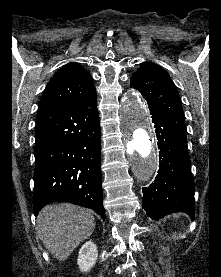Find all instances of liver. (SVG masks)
<instances>
[{
    "instance_id": "6515ba94",
    "label": "liver",
    "mask_w": 221,
    "mask_h": 277,
    "mask_svg": "<svg viewBox=\"0 0 221 277\" xmlns=\"http://www.w3.org/2000/svg\"><path fill=\"white\" fill-rule=\"evenodd\" d=\"M94 229L93 212L69 203L47 205L37 217L36 234L59 261L66 260Z\"/></svg>"
}]
</instances>
